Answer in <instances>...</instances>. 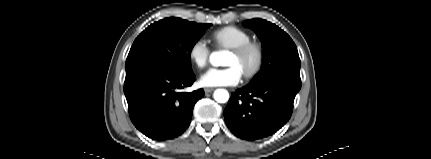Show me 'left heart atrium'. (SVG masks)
Here are the masks:
<instances>
[{
	"label": "left heart atrium",
	"instance_id": "39dd6f15",
	"mask_svg": "<svg viewBox=\"0 0 431 159\" xmlns=\"http://www.w3.org/2000/svg\"><path fill=\"white\" fill-rule=\"evenodd\" d=\"M242 79V72L237 66L211 68L202 74L200 83L206 87L234 86Z\"/></svg>",
	"mask_w": 431,
	"mask_h": 159
}]
</instances>
